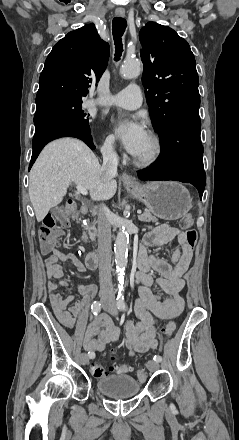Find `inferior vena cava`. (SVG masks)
Listing matches in <instances>:
<instances>
[{
	"instance_id": "obj_1",
	"label": "inferior vena cava",
	"mask_w": 239,
	"mask_h": 440,
	"mask_svg": "<svg viewBox=\"0 0 239 440\" xmlns=\"http://www.w3.org/2000/svg\"><path fill=\"white\" fill-rule=\"evenodd\" d=\"M103 180H113L117 174L118 156L114 150V140H106L102 150ZM110 212L105 204H100L98 208V260H99V282L102 307H115L114 290L111 280V224L109 222Z\"/></svg>"
}]
</instances>
